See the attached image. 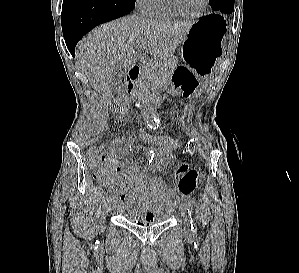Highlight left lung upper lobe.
I'll return each mask as SVG.
<instances>
[{
	"label": "left lung upper lobe",
	"instance_id": "1",
	"mask_svg": "<svg viewBox=\"0 0 299 273\" xmlns=\"http://www.w3.org/2000/svg\"><path fill=\"white\" fill-rule=\"evenodd\" d=\"M224 3L234 4V0H209L211 8L215 11H218Z\"/></svg>",
	"mask_w": 299,
	"mask_h": 273
}]
</instances>
